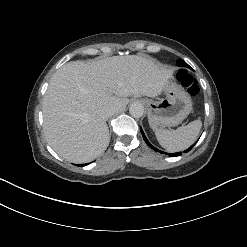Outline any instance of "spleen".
Returning a JSON list of instances; mask_svg holds the SVG:
<instances>
[{"instance_id": "3e777b00", "label": "spleen", "mask_w": 247, "mask_h": 247, "mask_svg": "<svg viewBox=\"0 0 247 247\" xmlns=\"http://www.w3.org/2000/svg\"><path fill=\"white\" fill-rule=\"evenodd\" d=\"M201 127L202 122L197 119L176 130L157 129L155 135L159 144L167 151L178 152L187 149L196 141Z\"/></svg>"}]
</instances>
